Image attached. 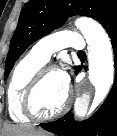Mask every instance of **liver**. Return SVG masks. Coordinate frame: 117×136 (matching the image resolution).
Here are the masks:
<instances>
[{"mask_svg":"<svg viewBox=\"0 0 117 136\" xmlns=\"http://www.w3.org/2000/svg\"><path fill=\"white\" fill-rule=\"evenodd\" d=\"M5 136H46L42 130L30 125H9L5 127Z\"/></svg>","mask_w":117,"mask_h":136,"instance_id":"obj_1","label":"liver"}]
</instances>
